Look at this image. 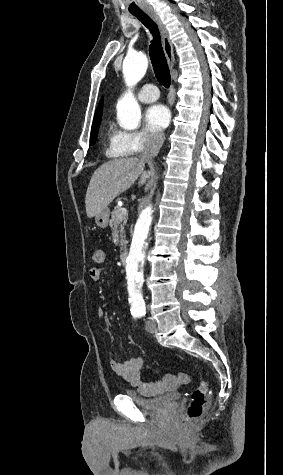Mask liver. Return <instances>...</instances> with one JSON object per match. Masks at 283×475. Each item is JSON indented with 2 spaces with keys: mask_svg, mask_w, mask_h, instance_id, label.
Instances as JSON below:
<instances>
[{
  "mask_svg": "<svg viewBox=\"0 0 283 475\" xmlns=\"http://www.w3.org/2000/svg\"><path fill=\"white\" fill-rule=\"evenodd\" d=\"M145 162L139 158H118L102 164L94 172L87 188L85 204L88 218H94L107 208L114 198L129 190L140 176L139 186L146 184L149 172H144ZM150 188L147 184L145 190Z\"/></svg>",
  "mask_w": 283,
  "mask_h": 475,
  "instance_id": "obj_1",
  "label": "liver"
}]
</instances>
